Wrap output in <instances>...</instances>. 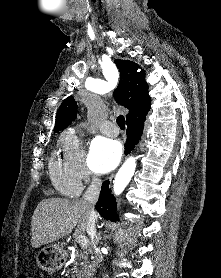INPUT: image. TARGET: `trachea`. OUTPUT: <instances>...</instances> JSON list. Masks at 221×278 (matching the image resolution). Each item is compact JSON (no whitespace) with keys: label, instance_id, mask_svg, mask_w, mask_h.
Wrapping results in <instances>:
<instances>
[{"label":"trachea","instance_id":"1","mask_svg":"<svg viewBox=\"0 0 221 278\" xmlns=\"http://www.w3.org/2000/svg\"><path fill=\"white\" fill-rule=\"evenodd\" d=\"M117 124H118V126L121 128V129H124L125 128V118H124V116L123 115H119L118 117H117Z\"/></svg>","mask_w":221,"mask_h":278}]
</instances>
